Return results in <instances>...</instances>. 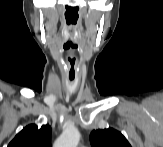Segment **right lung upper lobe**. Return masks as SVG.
<instances>
[{
    "label": "right lung upper lobe",
    "instance_id": "obj_1",
    "mask_svg": "<svg viewBox=\"0 0 163 147\" xmlns=\"http://www.w3.org/2000/svg\"><path fill=\"white\" fill-rule=\"evenodd\" d=\"M52 129L49 125L38 128L35 124H30L23 128L8 147H50Z\"/></svg>",
    "mask_w": 163,
    "mask_h": 147
}]
</instances>
